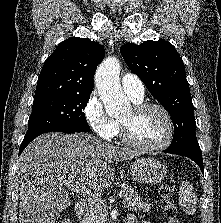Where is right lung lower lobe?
<instances>
[{
	"label": "right lung lower lobe",
	"mask_w": 221,
	"mask_h": 223,
	"mask_svg": "<svg viewBox=\"0 0 221 223\" xmlns=\"http://www.w3.org/2000/svg\"><path fill=\"white\" fill-rule=\"evenodd\" d=\"M52 131H59V132H65V133H74L76 131H72V130H65V129H52V130H44V131H40L31 135H25L21 145H20V149H19V155L22 153V151L25 149V147L32 141L34 140L36 137H38L39 135L43 134V133H47V132H52Z\"/></svg>",
	"instance_id": "obj_1"
}]
</instances>
